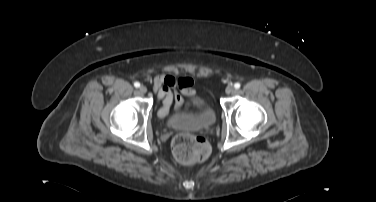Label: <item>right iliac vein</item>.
<instances>
[{
    "instance_id": "63e3f726",
    "label": "right iliac vein",
    "mask_w": 376,
    "mask_h": 202,
    "mask_svg": "<svg viewBox=\"0 0 376 202\" xmlns=\"http://www.w3.org/2000/svg\"><path fill=\"white\" fill-rule=\"evenodd\" d=\"M139 92L141 93V94H145L146 92H147V88L145 87V86H140L139 87Z\"/></svg>"
}]
</instances>
